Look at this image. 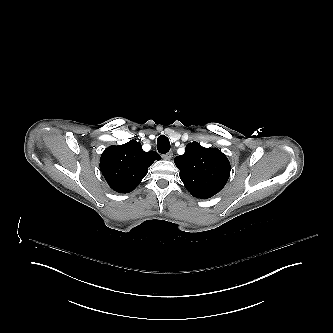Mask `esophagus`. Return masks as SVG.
Wrapping results in <instances>:
<instances>
[{"label": "esophagus", "instance_id": "obj_1", "mask_svg": "<svg viewBox=\"0 0 333 333\" xmlns=\"http://www.w3.org/2000/svg\"><path fill=\"white\" fill-rule=\"evenodd\" d=\"M172 156H173V152L170 151V152H168L167 154H164V155H163V158H164L165 160H170V159L172 158Z\"/></svg>", "mask_w": 333, "mask_h": 333}]
</instances>
